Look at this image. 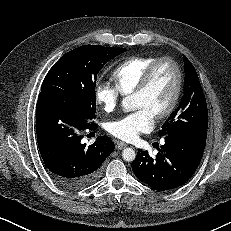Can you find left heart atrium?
Segmentation results:
<instances>
[{
	"label": "left heart atrium",
	"instance_id": "obj_1",
	"mask_svg": "<svg viewBox=\"0 0 231 231\" xmlns=\"http://www.w3.org/2000/svg\"><path fill=\"white\" fill-rule=\"evenodd\" d=\"M154 123V115L147 108H138L126 116L108 124V132L123 140L132 141L140 133L150 130Z\"/></svg>",
	"mask_w": 231,
	"mask_h": 231
}]
</instances>
